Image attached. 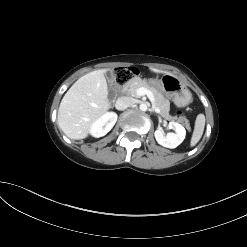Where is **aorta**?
Masks as SVG:
<instances>
[{
    "label": "aorta",
    "instance_id": "1",
    "mask_svg": "<svg viewBox=\"0 0 247 247\" xmlns=\"http://www.w3.org/2000/svg\"><path fill=\"white\" fill-rule=\"evenodd\" d=\"M140 110L141 111H147L148 109V106L146 103H141L140 106H139Z\"/></svg>",
    "mask_w": 247,
    "mask_h": 247
}]
</instances>
